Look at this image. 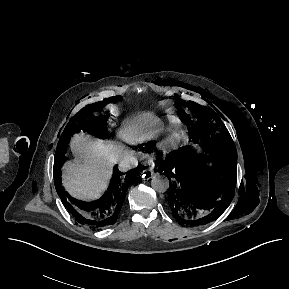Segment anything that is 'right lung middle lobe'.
<instances>
[{
    "instance_id": "right-lung-middle-lobe-1",
    "label": "right lung middle lobe",
    "mask_w": 289,
    "mask_h": 289,
    "mask_svg": "<svg viewBox=\"0 0 289 289\" xmlns=\"http://www.w3.org/2000/svg\"><path fill=\"white\" fill-rule=\"evenodd\" d=\"M118 97H113L112 101H114ZM109 101V100H108ZM107 101H102L98 103H94L91 105H87L83 109H81L75 116H73L69 123L66 125L57 147H64L66 151V147L70 141V137L79 131H84L92 135H97L98 137H102L106 135V123L109 115L106 116H97V112H101L104 104Z\"/></svg>"
}]
</instances>
